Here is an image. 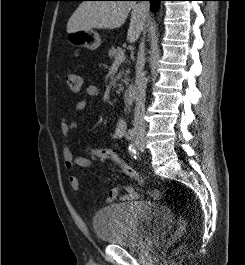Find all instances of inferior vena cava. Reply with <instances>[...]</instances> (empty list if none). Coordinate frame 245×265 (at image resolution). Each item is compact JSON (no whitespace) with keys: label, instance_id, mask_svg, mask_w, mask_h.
Listing matches in <instances>:
<instances>
[{"label":"inferior vena cava","instance_id":"inferior-vena-cava-1","mask_svg":"<svg viewBox=\"0 0 245 265\" xmlns=\"http://www.w3.org/2000/svg\"><path fill=\"white\" fill-rule=\"evenodd\" d=\"M140 9L144 14H147L149 11V2L142 1L139 3ZM144 65H145V53H144V41L139 45V51L137 54V63H136V77H135V109H134V120L133 127L134 131L139 134H145V96H146V87L147 79L144 75Z\"/></svg>","mask_w":245,"mask_h":265}]
</instances>
